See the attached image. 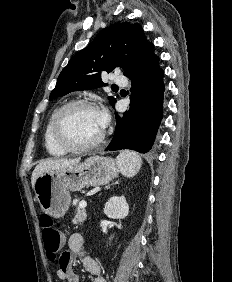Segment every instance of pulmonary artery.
<instances>
[{
  "mask_svg": "<svg viewBox=\"0 0 232 282\" xmlns=\"http://www.w3.org/2000/svg\"><path fill=\"white\" fill-rule=\"evenodd\" d=\"M113 82L117 85L124 86L127 84V79L122 75H116Z\"/></svg>",
  "mask_w": 232,
  "mask_h": 282,
  "instance_id": "e3ab8cb5",
  "label": "pulmonary artery"
}]
</instances>
